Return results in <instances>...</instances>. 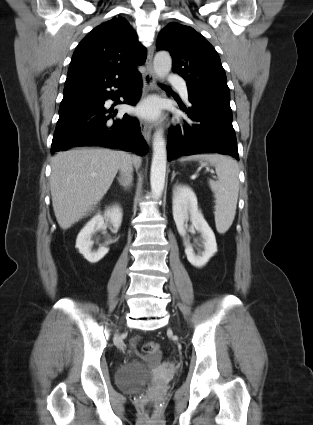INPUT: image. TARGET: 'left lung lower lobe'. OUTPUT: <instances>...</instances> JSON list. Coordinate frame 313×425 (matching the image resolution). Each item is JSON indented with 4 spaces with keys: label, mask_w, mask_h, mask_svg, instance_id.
Listing matches in <instances>:
<instances>
[{
    "label": "left lung lower lobe",
    "mask_w": 313,
    "mask_h": 425,
    "mask_svg": "<svg viewBox=\"0 0 313 425\" xmlns=\"http://www.w3.org/2000/svg\"><path fill=\"white\" fill-rule=\"evenodd\" d=\"M190 107L180 105L189 122L171 128L168 135V160L200 153H219L239 160L235 131L232 126L230 99L194 95L188 91Z\"/></svg>",
    "instance_id": "left-lung-lower-lobe-1"
}]
</instances>
